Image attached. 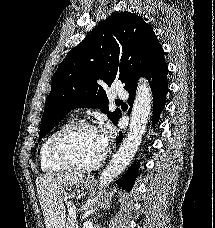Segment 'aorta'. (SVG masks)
I'll use <instances>...</instances> for the list:
<instances>
[{"mask_svg": "<svg viewBox=\"0 0 215 228\" xmlns=\"http://www.w3.org/2000/svg\"><path fill=\"white\" fill-rule=\"evenodd\" d=\"M152 104L153 96L151 88L144 78H140V80H138L136 96L130 116L128 136L125 138L122 146H120L117 154L113 156L111 162H109L108 166L103 170L100 176V192L97 194L95 202H98V200L102 198L104 188L109 186L113 180H116V178L126 170L131 160H133L145 134ZM98 204H100V202H98ZM95 228H99V226H95Z\"/></svg>", "mask_w": 215, "mask_h": 228, "instance_id": "762f6f07", "label": "aorta"}]
</instances>
